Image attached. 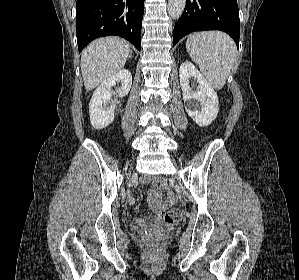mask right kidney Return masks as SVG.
I'll return each instance as SVG.
<instances>
[{"instance_id": "1", "label": "right kidney", "mask_w": 299, "mask_h": 280, "mask_svg": "<svg viewBox=\"0 0 299 280\" xmlns=\"http://www.w3.org/2000/svg\"><path fill=\"white\" fill-rule=\"evenodd\" d=\"M121 82V88L117 93L112 91V86ZM132 85L130 71L123 69L105 79L94 91L89 104L91 125L95 129H103L114 120L115 103L112 96L125 97ZM110 104V106H109Z\"/></svg>"}]
</instances>
